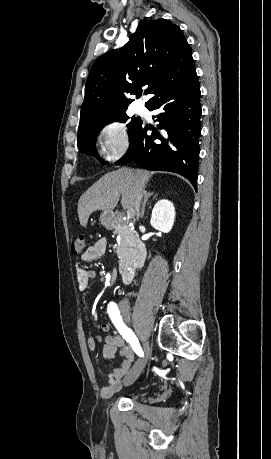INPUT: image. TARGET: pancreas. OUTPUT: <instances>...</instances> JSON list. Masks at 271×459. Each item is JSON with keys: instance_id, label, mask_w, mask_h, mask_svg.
I'll use <instances>...</instances> for the list:
<instances>
[{"instance_id": "cf45deb5", "label": "pancreas", "mask_w": 271, "mask_h": 459, "mask_svg": "<svg viewBox=\"0 0 271 459\" xmlns=\"http://www.w3.org/2000/svg\"><path fill=\"white\" fill-rule=\"evenodd\" d=\"M120 235V243L116 245V253L119 257H124V255H128L131 251V245L128 241V237L126 233H119Z\"/></svg>"}]
</instances>
